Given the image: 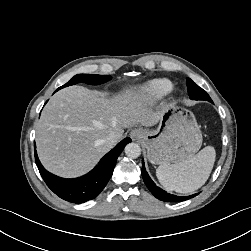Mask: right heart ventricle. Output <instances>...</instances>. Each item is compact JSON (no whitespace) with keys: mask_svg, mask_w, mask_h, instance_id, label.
<instances>
[{"mask_svg":"<svg viewBox=\"0 0 251 251\" xmlns=\"http://www.w3.org/2000/svg\"><path fill=\"white\" fill-rule=\"evenodd\" d=\"M173 88V83L167 78H157L148 81L140 88V94L149 100H158L166 96Z\"/></svg>","mask_w":251,"mask_h":251,"instance_id":"e07e8e85","label":"right heart ventricle"}]
</instances>
